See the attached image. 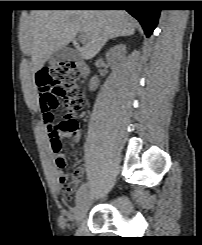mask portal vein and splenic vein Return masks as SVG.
<instances>
[{
  "label": "portal vein and splenic vein",
  "instance_id": "obj_1",
  "mask_svg": "<svg viewBox=\"0 0 202 245\" xmlns=\"http://www.w3.org/2000/svg\"><path fill=\"white\" fill-rule=\"evenodd\" d=\"M79 40L82 42V43H85L86 42V35L84 33H81L79 35Z\"/></svg>",
  "mask_w": 202,
  "mask_h": 245
}]
</instances>
